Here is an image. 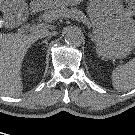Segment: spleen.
Segmentation results:
<instances>
[{"label":"spleen","mask_w":135,"mask_h":135,"mask_svg":"<svg viewBox=\"0 0 135 135\" xmlns=\"http://www.w3.org/2000/svg\"><path fill=\"white\" fill-rule=\"evenodd\" d=\"M112 84L118 91H129L135 87V58L113 70Z\"/></svg>","instance_id":"obj_1"}]
</instances>
